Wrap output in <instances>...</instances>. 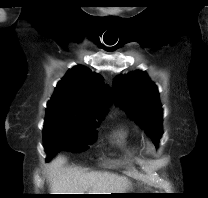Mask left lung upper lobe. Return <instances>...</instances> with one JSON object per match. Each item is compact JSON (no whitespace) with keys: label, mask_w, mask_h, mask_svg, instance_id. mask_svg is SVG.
<instances>
[{"label":"left lung upper lobe","mask_w":208,"mask_h":198,"mask_svg":"<svg viewBox=\"0 0 208 198\" xmlns=\"http://www.w3.org/2000/svg\"><path fill=\"white\" fill-rule=\"evenodd\" d=\"M116 101L157 145L162 136V109L157 87L145 72L135 71L115 78Z\"/></svg>","instance_id":"obj_1"}]
</instances>
